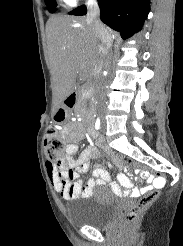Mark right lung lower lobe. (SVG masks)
Instances as JSON below:
<instances>
[{
  "label": "right lung lower lobe",
  "mask_w": 183,
  "mask_h": 246,
  "mask_svg": "<svg viewBox=\"0 0 183 246\" xmlns=\"http://www.w3.org/2000/svg\"><path fill=\"white\" fill-rule=\"evenodd\" d=\"M98 3L100 19L119 31L124 40L141 29L150 10V0H98ZM69 14L85 15L86 7H78Z\"/></svg>",
  "instance_id": "right-lung-lower-lobe-1"
}]
</instances>
